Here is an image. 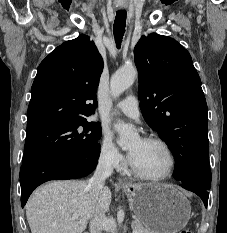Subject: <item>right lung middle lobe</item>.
I'll list each match as a JSON object with an SVG mask.
<instances>
[{
  "label": "right lung middle lobe",
  "instance_id": "dd1d6c3e",
  "mask_svg": "<svg viewBox=\"0 0 227 233\" xmlns=\"http://www.w3.org/2000/svg\"><path fill=\"white\" fill-rule=\"evenodd\" d=\"M100 137V124L89 122L87 119H79L27 134L23 163L54 153L87 157L99 150L97 140Z\"/></svg>",
  "mask_w": 227,
  "mask_h": 233
}]
</instances>
